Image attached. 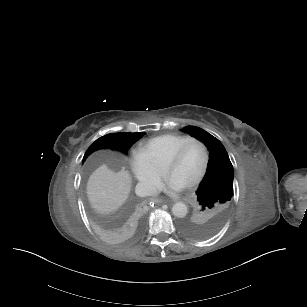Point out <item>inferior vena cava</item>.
I'll return each instance as SVG.
<instances>
[{
  "label": "inferior vena cava",
  "instance_id": "inferior-vena-cava-1",
  "mask_svg": "<svg viewBox=\"0 0 307 307\" xmlns=\"http://www.w3.org/2000/svg\"><path fill=\"white\" fill-rule=\"evenodd\" d=\"M157 193V189L154 185L146 183H138L136 185V194L138 196H154Z\"/></svg>",
  "mask_w": 307,
  "mask_h": 307
}]
</instances>
